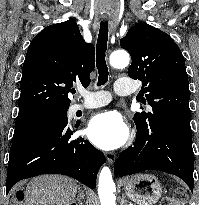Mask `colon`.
Returning a JSON list of instances; mask_svg holds the SVG:
<instances>
[{
    "instance_id": "5ec220e1",
    "label": "colon",
    "mask_w": 199,
    "mask_h": 205,
    "mask_svg": "<svg viewBox=\"0 0 199 205\" xmlns=\"http://www.w3.org/2000/svg\"><path fill=\"white\" fill-rule=\"evenodd\" d=\"M185 199H186L185 192L183 190H179L175 198H170V197L164 198L161 201L160 205H180L181 202L185 201Z\"/></svg>"
}]
</instances>
